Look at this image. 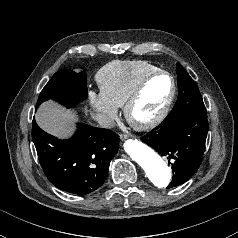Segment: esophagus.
Listing matches in <instances>:
<instances>
[{"instance_id": "esophagus-1", "label": "esophagus", "mask_w": 238, "mask_h": 238, "mask_svg": "<svg viewBox=\"0 0 238 238\" xmlns=\"http://www.w3.org/2000/svg\"><path fill=\"white\" fill-rule=\"evenodd\" d=\"M128 138V136L126 135V134H121L120 135V139L121 140H125V139H127Z\"/></svg>"}]
</instances>
